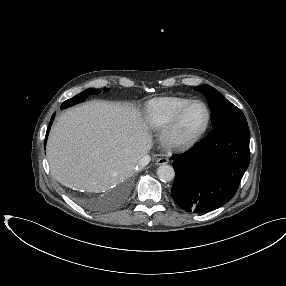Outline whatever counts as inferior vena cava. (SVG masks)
I'll return each mask as SVG.
<instances>
[{"instance_id":"602c4592","label":"inferior vena cava","mask_w":286,"mask_h":286,"mask_svg":"<svg viewBox=\"0 0 286 286\" xmlns=\"http://www.w3.org/2000/svg\"><path fill=\"white\" fill-rule=\"evenodd\" d=\"M149 162H150V156H149V155H144V156L138 161V164H137L136 166H138L139 168H142V167L146 166Z\"/></svg>"}]
</instances>
